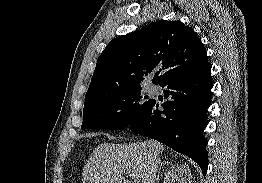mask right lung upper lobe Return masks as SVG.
<instances>
[{"mask_svg":"<svg viewBox=\"0 0 262 183\" xmlns=\"http://www.w3.org/2000/svg\"><path fill=\"white\" fill-rule=\"evenodd\" d=\"M208 62L207 52L191 27L180 21H156L141 30L113 39L99 56L85 102L139 88Z\"/></svg>","mask_w":262,"mask_h":183,"instance_id":"1","label":"right lung upper lobe"}]
</instances>
